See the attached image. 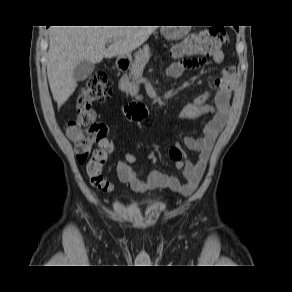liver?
<instances>
[{"instance_id":"liver-1","label":"liver","mask_w":292,"mask_h":292,"mask_svg":"<svg viewBox=\"0 0 292 292\" xmlns=\"http://www.w3.org/2000/svg\"><path fill=\"white\" fill-rule=\"evenodd\" d=\"M155 26H53L49 31L47 76L60 108L77 87L74 68L83 60L127 57L155 31ZM113 42L107 49V42Z\"/></svg>"}]
</instances>
